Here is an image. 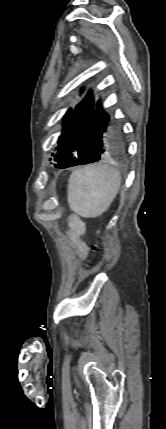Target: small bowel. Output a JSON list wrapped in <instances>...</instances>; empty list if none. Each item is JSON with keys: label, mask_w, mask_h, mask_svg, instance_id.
Instances as JSON below:
<instances>
[{"label": "small bowel", "mask_w": 166, "mask_h": 429, "mask_svg": "<svg viewBox=\"0 0 166 429\" xmlns=\"http://www.w3.org/2000/svg\"><path fill=\"white\" fill-rule=\"evenodd\" d=\"M69 226L71 229L70 238L75 246L76 254L79 258H85L88 254V248L81 239V236L85 233V225L77 216H71Z\"/></svg>", "instance_id": "small-bowel-1"}]
</instances>
